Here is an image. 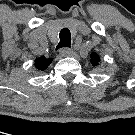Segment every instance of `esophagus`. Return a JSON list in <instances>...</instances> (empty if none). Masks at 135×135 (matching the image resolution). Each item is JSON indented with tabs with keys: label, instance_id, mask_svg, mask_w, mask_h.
Listing matches in <instances>:
<instances>
[{
	"label": "esophagus",
	"instance_id": "34e87169",
	"mask_svg": "<svg viewBox=\"0 0 135 135\" xmlns=\"http://www.w3.org/2000/svg\"><path fill=\"white\" fill-rule=\"evenodd\" d=\"M72 54V49L70 48H62L60 51H59V56L60 57H66V56H70Z\"/></svg>",
	"mask_w": 135,
	"mask_h": 135
}]
</instances>
